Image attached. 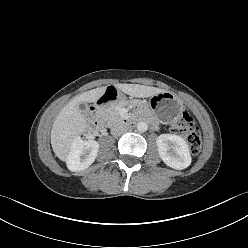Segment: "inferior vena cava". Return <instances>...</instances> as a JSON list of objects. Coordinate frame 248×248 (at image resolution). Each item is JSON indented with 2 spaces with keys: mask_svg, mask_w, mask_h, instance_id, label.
Wrapping results in <instances>:
<instances>
[{
  "mask_svg": "<svg viewBox=\"0 0 248 248\" xmlns=\"http://www.w3.org/2000/svg\"><path fill=\"white\" fill-rule=\"evenodd\" d=\"M127 126L123 122H117L111 127V134L114 136L121 135L127 131Z\"/></svg>",
  "mask_w": 248,
  "mask_h": 248,
  "instance_id": "obj_1",
  "label": "inferior vena cava"
}]
</instances>
